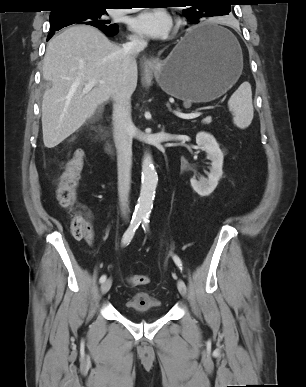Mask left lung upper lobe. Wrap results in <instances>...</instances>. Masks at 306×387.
I'll list each match as a JSON object with an SVG mask.
<instances>
[{
    "label": "left lung upper lobe",
    "mask_w": 306,
    "mask_h": 387,
    "mask_svg": "<svg viewBox=\"0 0 306 387\" xmlns=\"http://www.w3.org/2000/svg\"><path fill=\"white\" fill-rule=\"evenodd\" d=\"M185 6L184 16L192 24L207 21L213 16H223L230 12L229 0H183ZM206 13V14H205Z\"/></svg>",
    "instance_id": "5c2ea615"
}]
</instances>
